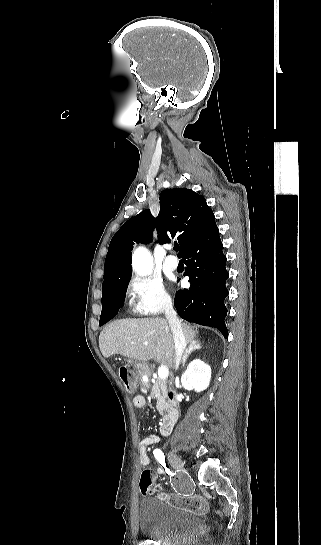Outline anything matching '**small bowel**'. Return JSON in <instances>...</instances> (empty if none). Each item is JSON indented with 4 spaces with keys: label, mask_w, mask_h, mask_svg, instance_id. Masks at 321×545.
Returning <instances> with one entry per match:
<instances>
[{
    "label": "small bowel",
    "mask_w": 321,
    "mask_h": 545,
    "mask_svg": "<svg viewBox=\"0 0 321 545\" xmlns=\"http://www.w3.org/2000/svg\"><path fill=\"white\" fill-rule=\"evenodd\" d=\"M133 403L137 408H143L145 406V404H146V400H145V398L143 396L137 395V396L134 397ZM158 441H159V438L156 435L149 434V435L144 436L142 438V440L139 442V445H138L139 460H140L141 465L144 468H147L149 466V464H150V459H149V456H148L149 447L151 445H154V444L158 443ZM164 470H163V468L159 467L156 470V472L153 473V475L163 474Z\"/></svg>",
    "instance_id": "obj_1"
}]
</instances>
